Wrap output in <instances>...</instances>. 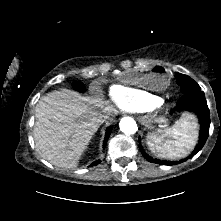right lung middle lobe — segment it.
<instances>
[{
	"label": "right lung middle lobe",
	"instance_id": "obj_1",
	"mask_svg": "<svg viewBox=\"0 0 221 221\" xmlns=\"http://www.w3.org/2000/svg\"><path fill=\"white\" fill-rule=\"evenodd\" d=\"M75 87H76L78 90H80V91L84 90V87H83V85H82L81 83H77V84L75 85Z\"/></svg>",
	"mask_w": 221,
	"mask_h": 221
}]
</instances>
